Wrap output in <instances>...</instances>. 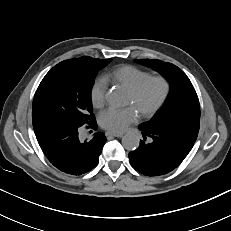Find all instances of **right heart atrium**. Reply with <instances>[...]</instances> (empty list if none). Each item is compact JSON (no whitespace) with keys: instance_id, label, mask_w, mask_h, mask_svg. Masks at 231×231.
I'll return each mask as SVG.
<instances>
[{"instance_id":"d8ad5b80","label":"right heart atrium","mask_w":231,"mask_h":231,"mask_svg":"<svg viewBox=\"0 0 231 231\" xmlns=\"http://www.w3.org/2000/svg\"><path fill=\"white\" fill-rule=\"evenodd\" d=\"M107 84L102 78L97 79L91 86L90 99L95 108H101L106 101Z\"/></svg>"}]
</instances>
